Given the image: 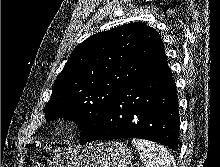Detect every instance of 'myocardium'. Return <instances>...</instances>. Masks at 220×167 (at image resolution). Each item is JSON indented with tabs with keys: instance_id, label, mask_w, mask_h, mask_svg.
Listing matches in <instances>:
<instances>
[{
	"instance_id": "obj_1",
	"label": "myocardium",
	"mask_w": 220,
	"mask_h": 167,
	"mask_svg": "<svg viewBox=\"0 0 220 167\" xmlns=\"http://www.w3.org/2000/svg\"><path fill=\"white\" fill-rule=\"evenodd\" d=\"M75 129L76 123L72 120H63L58 126L60 134L65 136L72 134L75 131Z\"/></svg>"
}]
</instances>
